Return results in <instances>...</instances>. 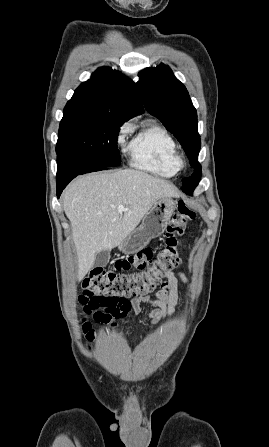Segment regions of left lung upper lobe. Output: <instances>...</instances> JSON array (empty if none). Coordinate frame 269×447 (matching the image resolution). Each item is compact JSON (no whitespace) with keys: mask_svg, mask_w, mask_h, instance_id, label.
I'll return each mask as SVG.
<instances>
[{"mask_svg":"<svg viewBox=\"0 0 269 447\" xmlns=\"http://www.w3.org/2000/svg\"><path fill=\"white\" fill-rule=\"evenodd\" d=\"M146 110L160 119L184 147L194 173L183 178L182 190L190 193L201 178L198 162L201 140L197 129V112L185 86L165 64L146 68L137 83Z\"/></svg>","mask_w":269,"mask_h":447,"instance_id":"5c2ea615","label":"left lung upper lobe"}]
</instances>
